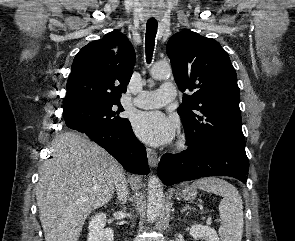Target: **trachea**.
Returning <instances> with one entry per match:
<instances>
[{
    "mask_svg": "<svg viewBox=\"0 0 295 241\" xmlns=\"http://www.w3.org/2000/svg\"><path fill=\"white\" fill-rule=\"evenodd\" d=\"M158 23L156 20H148L146 24V38H145V50L146 60L150 63L152 60V54L155 45V37L157 33Z\"/></svg>",
    "mask_w": 295,
    "mask_h": 241,
    "instance_id": "trachea-1",
    "label": "trachea"
}]
</instances>
